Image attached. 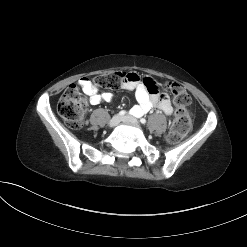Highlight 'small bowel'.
<instances>
[{"instance_id": "1", "label": "small bowel", "mask_w": 247, "mask_h": 247, "mask_svg": "<svg viewBox=\"0 0 247 247\" xmlns=\"http://www.w3.org/2000/svg\"><path fill=\"white\" fill-rule=\"evenodd\" d=\"M128 77L124 80L121 87L127 91H134L138 105L133 106L130 112L135 116H141L156 107L170 115L173 107L170 97L165 92H158L156 81L152 78L141 79L135 72L127 73ZM83 92L88 96L92 105H97L103 101L109 102L114 99V95L110 92H100L98 88L88 79L79 80Z\"/></svg>"}]
</instances>
